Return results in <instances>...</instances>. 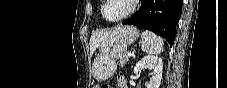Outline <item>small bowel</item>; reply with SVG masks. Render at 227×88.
Returning a JSON list of instances; mask_svg holds the SVG:
<instances>
[{
  "mask_svg": "<svg viewBox=\"0 0 227 88\" xmlns=\"http://www.w3.org/2000/svg\"><path fill=\"white\" fill-rule=\"evenodd\" d=\"M117 87L119 88H127V82H126V79L124 77H120L118 79V82H117Z\"/></svg>",
  "mask_w": 227,
  "mask_h": 88,
  "instance_id": "small-bowel-1",
  "label": "small bowel"
}]
</instances>
